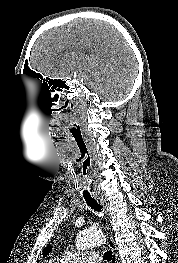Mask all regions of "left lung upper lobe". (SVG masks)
<instances>
[{"instance_id": "1", "label": "left lung upper lobe", "mask_w": 178, "mask_h": 263, "mask_svg": "<svg viewBox=\"0 0 178 263\" xmlns=\"http://www.w3.org/2000/svg\"><path fill=\"white\" fill-rule=\"evenodd\" d=\"M51 250H52V246H49V247L45 248L43 250V252H42V255L43 256H47L50 253Z\"/></svg>"}]
</instances>
